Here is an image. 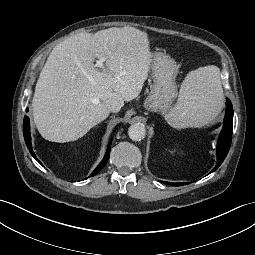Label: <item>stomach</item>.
Segmentation results:
<instances>
[{
    "label": "stomach",
    "instance_id": "stomach-1",
    "mask_svg": "<svg viewBox=\"0 0 255 255\" xmlns=\"http://www.w3.org/2000/svg\"><path fill=\"white\" fill-rule=\"evenodd\" d=\"M153 76L151 91L144 102V108L150 112L165 114L171 109L177 97L178 65L165 53L152 54L150 64Z\"/></svg>",
    "mask_w": 255,
    "mask_h": 255
}]
</instances>
